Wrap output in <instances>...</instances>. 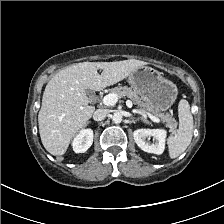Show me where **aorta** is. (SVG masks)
<instances>
[{"mask_svg":"<svg viewBox=\"0 0 224 224\" xmlns=\"http://www.w3.org/2000/svg\"><path fill=\"white\" fill-rule=\"evenodd\" d=\"M112 121H113L115 124H119V123H121V121H122V115H121L119 112H115V113L112 115Z\"/></svg>","mask_w":224,"mask_h":224,"instance_id":"obj_1","label":"aorta"}]
</instances>
